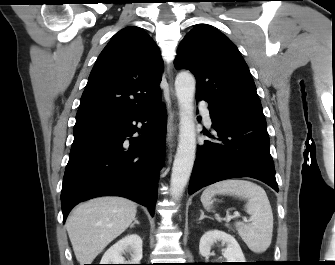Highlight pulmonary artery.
<instances>
[{
	"mask_svg": "<svg viewBox=\"0 0 335 265\" xmlns=\"http://www.w3.org/2000/svg\"><path fill=\"white\" fill-rule=\"evenodd\" d=\"M200 108H201L202 115L204 117L206 124L211 125L210 112H209L207 105L204 102H201Z\"/></svg>",
	"mask_w": 335,
	"mask_h": 265,
	"instance_id": "e3ab8cb5",
	"label": "pulmonary artery"
}]
</instances>
